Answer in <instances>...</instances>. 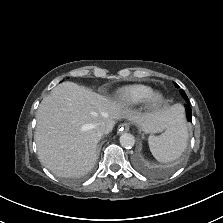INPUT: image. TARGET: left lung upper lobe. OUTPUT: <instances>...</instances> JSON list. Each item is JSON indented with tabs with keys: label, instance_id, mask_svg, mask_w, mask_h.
Listing matches in <instances>:
<instances>
[{
	"label": "left lung upper lobe",
	"instance_id": "left-lung-upper-lobe-1",
	"mask_svg": "<svg viewBox=\"0 0 223 223\" xmlns=\"http://www.w3.org/2000/svg\"><path fill=\"white\" fill-rule=\"evenodd\" d=\"M174 84L176 87H178V85L176 83H174ZM180 93H181L182 97L185 99V101L188 100V97H187L186 93L184 92V90H180Z\"/></svg>",
	"mask_w": 223,
	"mask_h": 223
}]
</instances>
